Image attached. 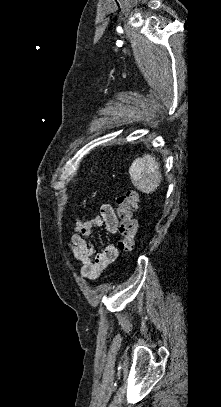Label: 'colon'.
Segmentation results:
<instances>
[{
  "mask_svg": "<svg viewBox=\"0 0 221 407\" xmlns=\"http://www.w3.org/2000/svg\"><path fill=\"white\" fill-rule=\"evenodd\" d=\"M117 217L119 220L118 233L120 236L118 247L122 252H130L134 245L137 233V224L134 213L139 204L138 194L131 190L116 200Z\"/></svg>",
  "mask_w": 221,
  "mask_h": 407,
  "instance_id": "obj_1",
  "label": "colon"
}]
</instances>
